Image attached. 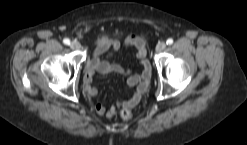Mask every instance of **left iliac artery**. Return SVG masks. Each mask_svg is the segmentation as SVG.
Listing matches in <instances>:
<instances>
[{
	"label": "left iliac artery",
	"instance_id": "44dca946",
	"mask_svg": "<svg viewBox=\"0 0 247 145\" xmlns=\"http://www.w3.org/2000/svg\"><path fill=\"white\" fill-rule=\"evenodd\" d=\"M166 43H167V45H172L173 39L172 38L167 39Z\"/></svg>",
	"mask_w": 247,
	"mask_h": 145
}]
</instances>
